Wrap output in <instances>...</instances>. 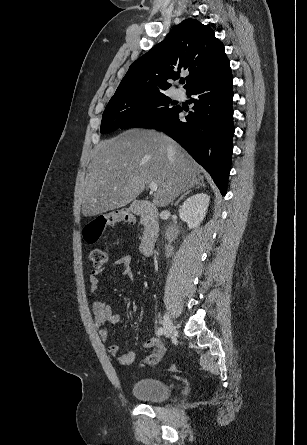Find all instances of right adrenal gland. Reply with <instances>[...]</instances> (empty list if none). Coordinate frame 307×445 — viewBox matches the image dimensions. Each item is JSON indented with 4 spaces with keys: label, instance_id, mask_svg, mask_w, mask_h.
Wrapping results in <instances>:
<instances>
[{
    "label": "right adrenal gland",
    "instance_id": "right-adrenal-gland-1",
    "mask_svg": "<svg viewBox=\"0 0 307 445\" xmlns=\"http://www.w3.org/2000/svg\"><path fill=\"white\" fill-rule=\"evenodd\" d=\"M200 186H205V184H197V186H194V188H200ZM191 190H193V188H190V190H186V192H183V194H181L180 198H178V200H176L175 204H178V202H180L181 198H183V196H185V194H189V192H191Z\"/></svg>",
    "mask_w": 307,
    "mask_h": 445
}]
</instances>
